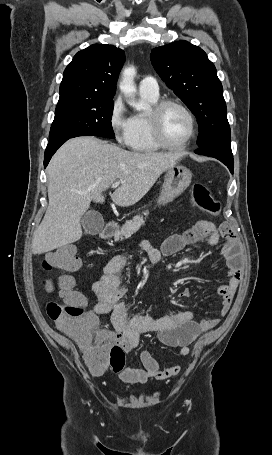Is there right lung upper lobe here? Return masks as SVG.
<instances>
[{"instance_id":"cb5924a9","label":"right lung upper lobe","mask_w":272,"mask_h":455,"mask_svg":"<svg viewBox=\"0 0 272 455\" xmlns=\"http://www.w3.org/2000/svg\"><path fill=\"white\" fill-rule=\"evenodd\" d=\"M124 60V51L108 44L79 51L64 71L58 102L112 100Z\"/></svg>"}]
</instances>
